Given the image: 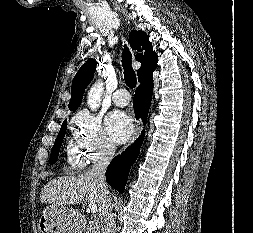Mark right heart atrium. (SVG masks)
<instances>
[{
    "instance_id": "1",
    "label": "right heart atrium",
    "mask_w": 253,
    "mask_h": 233,
    "mask_svg": "<svg viewBox=\"0 0 253 233\" xmlns=\"http://www.w3.org/2000/svg\"><path fill=\"white\" fill-rule=\"evenodd\" d=\"M73 132L89 162L100 161L114 152L115 147L103 129L101 119L87 110L75 116Z\"/></svg>"
}]
</instances>
